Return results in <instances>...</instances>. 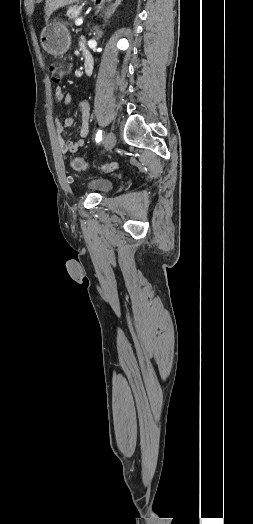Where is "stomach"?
Masks as SVG:
<instances>
[{
	"label": "stomach",
	"instance_id": "obj_1",
	"mask_svg": "<svg viewBox=\"0 0 253 524\" xmlns=\"http://www.w3.org/2000/svg\"><path fill=\"white\" fill-rule=\"evenodd\" d=\"M40 41L46 52L55 56H60L69 49L71 37L64 24L59 21H54L47 24L43 29Z\"/></svg>",
	"mask_w": 253,
	"mask_h": 524
}]
</instances>
